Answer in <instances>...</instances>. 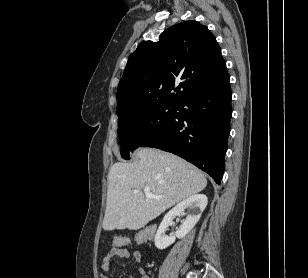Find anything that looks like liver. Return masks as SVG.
Wrapping results in <instances>:
<instances>
[{
	"mask_svg": "<svg viewBox=\"0 0 308 278\" xmlns=\"http://www.w3.org/2000/svg\"><path fill=\"white\" fill-rule=\"evenodd\" d=\"M136 160L115 163L108 174L103 229L138 230L175 204L207 186L204 174L184 159L159 149L142 148ZM149 187L153 195L143 193ZM139 192L134 194L133 191Z\"/></svg>",
	"mask_w": 308,
	"mask_h": 278,
	"instance_id": "liver-1",
	"label": "liver"
}]
</instances>
